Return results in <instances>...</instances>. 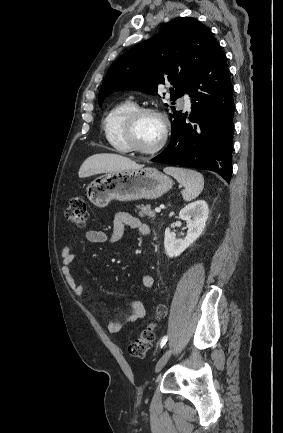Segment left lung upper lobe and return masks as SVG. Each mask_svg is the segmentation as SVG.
<instances>
[{"instance_id": "1", "label": "left lung upper lobe", "mask_w": 283, "mask_h": 433, "mask_svg": "<svg viewBox=\"0 0 283 433\" xmlns=\"http://www.w3.org/2000/svg\"><path fill=\"white\" fill-rule=\"evenodd\" d=\"M216 43L210 30L195 18L168 22L157 35L135 45L113 62L100 88L99 106L114 91L133 89L152 94L158 84L165 82L173 85L171 100L180 98ZM171 108L170 118L174 121L182 112Z\"/></svg>"}]
</instances>
